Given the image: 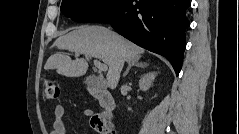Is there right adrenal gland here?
<instances>
[{
  "mask_svg": "<svg viewBox=\"0 0 239 134\" xmlns=\"http://www.w3.org/2000/svg\"><path fill=\"white\" fill-rule=\"evenodd\" d=\"M132 66L145 67L146 64L145 63H139L138 61L129 62L128 63V68H127L126 72L123 74V77H125L128 74V72H129V70Z\"/></svg>",
  "mask_w": 239,
  "mask_h": 134,
  "instance_id": "obj_1",
  "label": "right adrenal gland"
}]
</instances>
